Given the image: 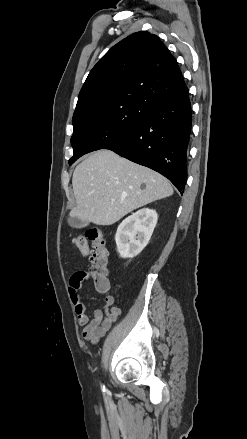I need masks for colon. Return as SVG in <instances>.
<instances>
[{
	"instance_id": "obj_1",
	"label": "colon",
	"mask_w": 247,
	"mask_h": 439,
	"mask_svg": "<svg viewBox=\"0 0 247 439\" xmlns=\"http://www.w3.org/2000/svg\"><path fill=\"white\" fill-rule=\"evenodd\" d=\"M74 244L83 256L90 255L87 274L94 280L95 288L99 292L109 290L108 251L102 232L91 228L75 238Z\"/></svg>"
}]
</instances>
